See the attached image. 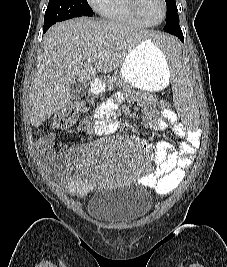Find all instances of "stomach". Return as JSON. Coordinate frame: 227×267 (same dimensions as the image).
<instances>
[{
    "label": "stomach",
    "instance_id": "obj_1",
    "mask_svg": "<svg viewBox=\"0 0 227 267\" xmlns=\"http://www.w3.org/2000/svg\"><path fill=\"white\" fill-rule=\"evenodd\" d=\"M156 41L147 39L130 51L120 66L123 80L132 87L159 91L169 84L170 72L166 55L161 47H155ZM106 85H94L92 94L106 90Z\"/></svg>",
    "mask_w": 227,
    "mask_h": 267
}]
</instances>
